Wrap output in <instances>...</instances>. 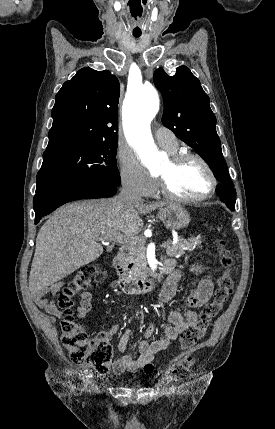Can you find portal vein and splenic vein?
Returning <instances> with one entry per match:
<instances>
[{"label": "portal vein and splenic vein", "instance_id": "1", "mask_svg": "<svg viewBox=\"0 0 275 429\" xmlns=\"http://www.w3.org/2000/svg\"><path fill=\"white\" fill-rule=\"evenodd\" d=\"M110 240H114L119 244L123 245H135L137 242L142 241V239L136 237H130L123 234H116L110 237ZM144 241V240H143ZM169 246V242H164L161 244V247L165 248Z\"/></svg>", "mask_w": 275, "mask_h": 429}]
</instances>
